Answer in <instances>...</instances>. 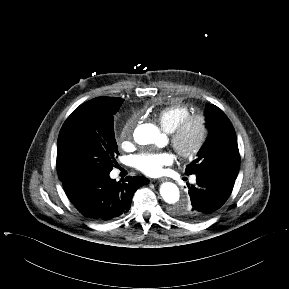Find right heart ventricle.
Listing matches in <instances>:
<instances>
[{
    "instance_id": "obj_1",
    "label": "right heart ventricle",
    "mask_w": 289,
    "mask_h": 289,
    "mask_svg": "<svg viewBox=\"0 0 289 289\" xmlns=\"http://www.w3.org/2000/svg\"><path fill=\"white\" fill-rule=\"evenodd\" d=\"M191 114L192 111L188 106L174 104L160 109L157 113V119L163 130L171 133L185 117Z\"/></svg>"
}]
</instances>
